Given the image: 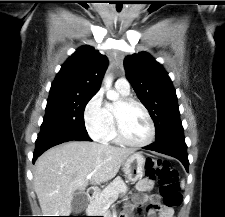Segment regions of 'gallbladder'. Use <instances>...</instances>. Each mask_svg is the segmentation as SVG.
Segmentation results:
<instances>
[{
	"instance_id": "1",
	"label": "gallbladder",
	"mask_w": 225,
	"mask_h": 217,
	"mask_svg": "<svg viewBox=\"0 0 225 217\" xmlns=\"http://www.w3.org/2000/svg\"><path fill=\"white\" fill-rule=\"evenodd\" d=\"M88 204V198L83 191H76L72 199V212H82Z\"/></svg>"
}]
</instances>
